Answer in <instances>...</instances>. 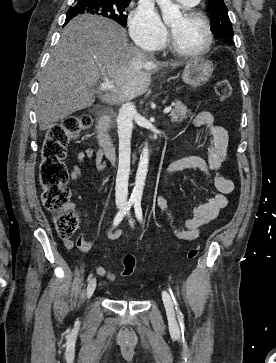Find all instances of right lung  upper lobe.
Listing matches in <instances>:
<instances>
[{"label":"right lung upper lobe","instance_id":"right-lung-upper-lobe-1","mask_svg":"<svg viewBox=\"0 0 276 363\" xmlns=\"http://www.w3.org/2000/svg\"><path fill=\"white\" fill-rule=\"evenodd\" d=\"M110 1L130 2V0H110Z\"/></svg>","mask_w":276,"mask_h":363}]
</instances>
